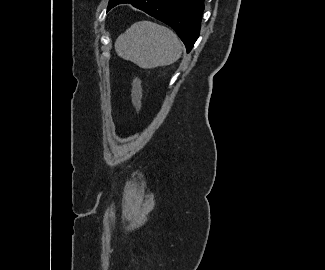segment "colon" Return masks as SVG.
Segmentation results:
<instances>
[{
    "label": "colon",
    "mask_w": 325,
    "mask_h": 270,
    "mask_svg": "<svg viewBox=\"0 0 325 270\" xmlns=\"http://www.w3.org/2000/svg\"><path fill=\"white\" fill-rule=\"evenodd\" d=\"M131 98L135 110L140 112L142 108V86L140 79L136 76L132 79Z\"/></svg>",
    "instance_id": "colon-1"
}]
</instances>
